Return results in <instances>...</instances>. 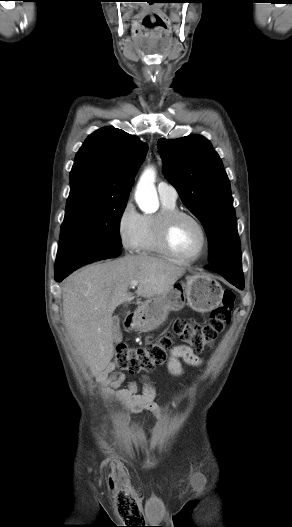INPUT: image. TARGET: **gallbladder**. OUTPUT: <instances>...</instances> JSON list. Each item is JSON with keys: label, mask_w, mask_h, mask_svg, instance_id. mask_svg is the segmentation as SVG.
Wrapping results in <instances>:
<instances>
[{"label": "gallbladder", "mask_w": 292, "mask_h": 527, "mask_svg": "<svg viewBox=\"0 0 292 527\" xmlns=\"http://www.w3.org/2000/svg\"><path fill=\"white\" fill-rule=\"evenodd\" d=\"M120 319L118 316H114L112 318V332H113V338L116 343H119L122 341V333L120 330Z\"/></svg>", "instance_id": "gallbladder-1"}]
</instances>
